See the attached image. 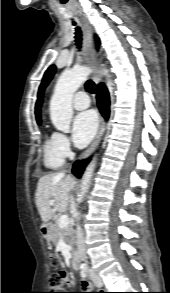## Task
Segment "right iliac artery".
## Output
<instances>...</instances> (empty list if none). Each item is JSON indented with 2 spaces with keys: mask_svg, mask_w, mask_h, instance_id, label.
<instances>
[{
  "mask_svg": "<svg viewBox=\"0 0 170 293\" xmlns=\"http://www.w3.org/2000/svg\"><path fill=\"white\" fill-rule=\"evenodd\" d=\"M80 273H81V276L84 278L87 276L88 270L86 268H83Z\"/></svg>",
  "mask_w": 170,
  "mask_h": 293,
  "instance_id": "82829eb1",
  "label": "right iliac artery"
}]
</instances>
